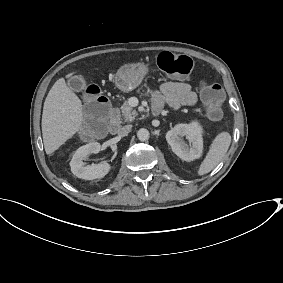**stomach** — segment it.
Segmentation results:
<instances>
[{
    "instance_id": "stomach-1",
    "label": "stomach",
    "mask_w": 283,
    "mask_h": 283,
    "mask_svg": "<svg viewBox=\"0 0 283 283\" xmlns=\"http://www.w3.org/2000/svg\"><path fill=\"white\" fill-rule=\"evenodd\" d=\"M148 71V64L144 62L125 64L117 71L115 84L123 92L132 91L141 84Z\"/></svg>"
}]
</instances>
